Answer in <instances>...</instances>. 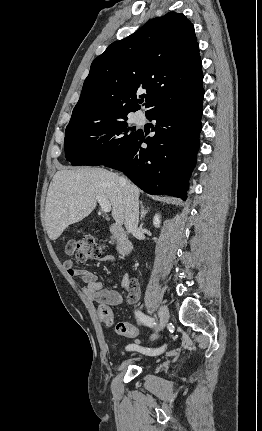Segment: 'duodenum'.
<instances>
[{
    "label": "duodenum",
    "instance_id": "1",
    "mask_svg": "<svg viewBox=\"0 0 262 431\" xmlns=\"http://www.w3.org/2000/svg\"><path fill=\"white\" fill-rule=\"evenodd\" d=\"M108 229L116 242L118 253L125 256L129 255L132 251V245L124 227L121 224L113 223L109 225Z\"/></svg>",
    "mask_w": 262,
    "mask_h": 431
}]
</instances>
